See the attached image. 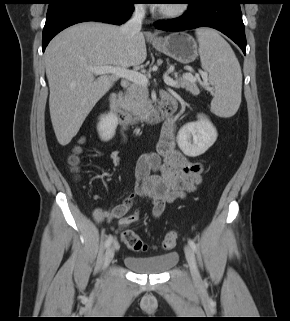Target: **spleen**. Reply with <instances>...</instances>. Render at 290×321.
I'll list each match as a JSON object with an SVG mask.
<instances>
[{
  "instance_id": "1",
  "label": "spleen",
  "mask_w": 290,
  "mask_h": 321,
  "mask_svg": "<svg viewBox=\"0 0 290 321\" xmlns=\"http://www.w3.org/2000/svg\"><path fill=\"white\" fill-rule=\"evenodd\" d=\"M202 68L215 88L212 112L220 117L233 116L241 103V67L230 45L213 29L196 31Z\"/></svg>"
}]
</instances>
